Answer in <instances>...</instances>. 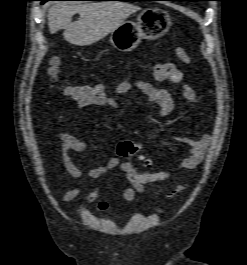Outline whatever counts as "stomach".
Segmentation results:
<instances>
[{
  "mask_svg": "<svg viewBox=\"0 0 247 265\" xmlns=\"http://www.w3.org/2000/svg\"><path fill=\"white\" fill-rule=\"evenodd\" d=\"M171 25L167 11L150 7L138 15L137 22L125 21L111 32L109 41L117 50L131 52L139 46L142 39L155 40L165 35Z\"/></svg>",
  "mask_w": 247,
  "mask_h": 265,
  "instance_id": "stomach-1",
  "label": "stomach"
}]
</instances>
